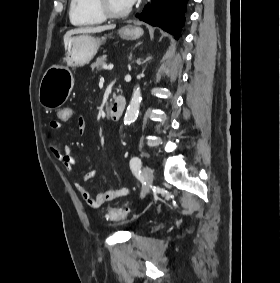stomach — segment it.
<instances>
[{
	"mask_svg": "<svg viewBox=\"0 0 280 283\" xmlns=\"http://www.w3.org/2000/svg\"><path fill=\"white\" fill-rule=\"evenodd\" d=\"M142 28L127 25L119 30L123 39L135 40L143 35ZM105 37L96 38L89 35L70 37L63 58V63L53 65L44 73L39 86V102L46 109L60 107L69 97L74 77L70 67H81L88 64L96 55Z\"/></svg>",
	"mask_w": 280,
	"mask_h": 283,
	"instance_id": "1",
	"label": "stomach"
}]
</instances>
